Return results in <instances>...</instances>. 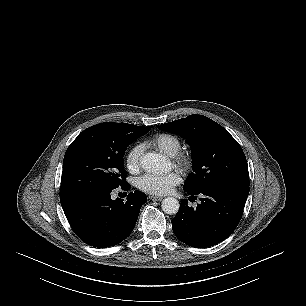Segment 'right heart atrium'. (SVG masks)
<instances>
[{
  "label": "right heart atrium",
  "mask_w": 306,
  "mask_h": 306,
  "mask_svg": "<svg viewBox=\"0 0 306 306\" xmlns=\"http://www.w3.org/2000/svg\"><path fill=\"white\" fill-rule=\"evenodd\" d=\"M143 146L140 144L132 146L126 154V167L131 173H137L141 167Z\"/></svg>",
  "instance_id": "d8ad5b80"
}]
</instances>
